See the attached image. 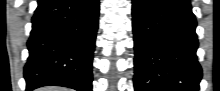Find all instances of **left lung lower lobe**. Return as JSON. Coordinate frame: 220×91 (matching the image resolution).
<instances>
[{"instance_id":"left-lung-lower-lobe-1","label":"left lung lower lobe","mask_w":220,"mask_h":91,"mask_svg":"<svg viewBox=\"0 0 220 91\" xmlns=\"http://www.w3.org/2000/svg\"><path fill=\"white\" fill-rule=\"evenodd\" d=\"M135 91H198L196 19L189 0H133Z\"/></svg>"}]
</instances>
